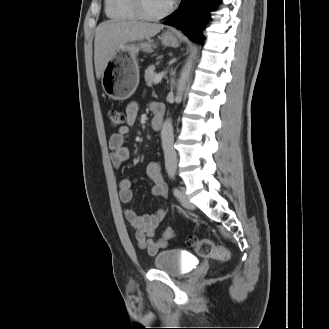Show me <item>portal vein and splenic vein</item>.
<instances>
[{
	"label": "portal vein and splenic vein",
	"instance_id": "obj_1",
	"mask_svg": "<svg viewBox=\"0 0 329 329\" xmlns=\"http://www.w3.org/2000/svg\"><path fill=\"white\" fill-rule=\"evenodd\" d=\"M164 74H165L164 72L157 74L154 78V83L155 84L159 83L161 81V79L163 78Z\"/></svg>",
	"mask_w": 329,
	"mask_h": 329
}]
</instances>
